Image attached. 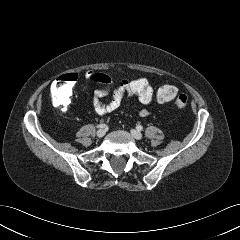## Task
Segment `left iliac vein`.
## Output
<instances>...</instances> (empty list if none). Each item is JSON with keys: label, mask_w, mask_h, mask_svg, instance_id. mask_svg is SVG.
Listing matches in <instances>:
<instances>
[{"label": "left iliac vein", "mask_w": 240, "mask_h": 240, "mask_svg": "<svg viewBox=\"0 0 240 240\" xmlns=\"http://www.w3.org/2000/svg\"><path fill=\"white\" fill-rule=\"evenodd\" d=\"M131 135L137 140H141L143 138V135L139 131L134 129L131 130Z\"/></svg>", "instance_id": "left-iliac-vein-1"}]
</instances>
